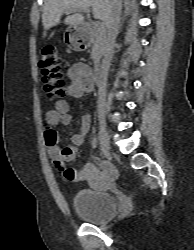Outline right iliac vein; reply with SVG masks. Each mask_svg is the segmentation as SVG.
I'll use <instances>...</instances> for the list:
<instances>
[{"mask_svg": "<svg viewBox=\"0 0 194 250\" xmlns=\"http://www.w3.org/2000/svg\"><path fill=\"white\" fill-rule=\"evenodd\" d=\"M99 141L102 152L107 155L110 152V141L106 123L103 119L99 120Z\"/></svg>", "mask_w": 194, "mask_h": 250, "instance_id": "1", "label": "right iliac vein"}]
</instances>
